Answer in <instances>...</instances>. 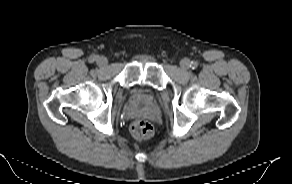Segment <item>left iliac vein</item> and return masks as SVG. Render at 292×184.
I'll return each mask as SVG.
<instances>
[{"mask_svg":"<svg viewBox=\"0 0 292 184\" xmlns=\"http://www.w3.org/2000/svg\"><path fill=\"white\" fill-rule=\"evenodd\" d=\"M190 61L188 59H182L180 61V67L182 70L186 71L189 68Z\"/></svg>","mask_w":292,"mask_h":184,"instance_id":"obj_1","label":"left iliac vein"}]
</instances>
